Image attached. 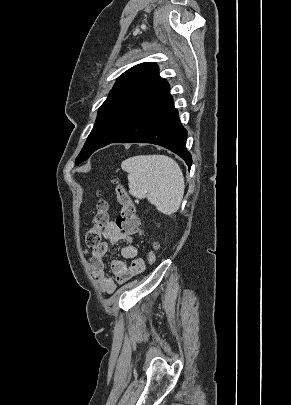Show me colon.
<instances>
[{
	"label": "colon",
	"instance_id": "colon-1",
	"mask_svg": "<svg viewBox=\"0 0 291 405\" xmlns=\"http://www.w3.org/2000/svg\"><path fill=\"white\" fill-rule=\"evenodd\" d=\"M115 185L117 201L121 205V211L120 215L117 217L116 225L124 234L138 235L142 232V226L137 215L136 207L121 183L115 180ZM92 223V227L85 233V243L90 249H94L102 243V230L108 224L107 203L105 200L99 199ZM156 260L157 246L154 245L147 253V263L153 265Z\"/></svg>",
	"mask_w": 291,
	"mask_h": 405
}]
</instances>
